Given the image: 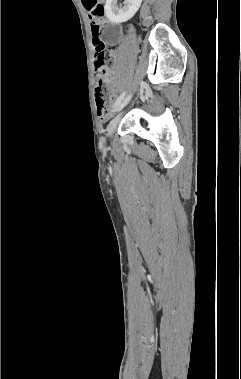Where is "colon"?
Here are the masks:
<instances>
[{
    "label": "colon",
    "mask_w": 241,
    "mask_h": 379,
    "mask_svg": "<svg viewBox=\"0 0 241 379\" xmlns=\"http://www.w3.org/2000/svg\"><path fill=\"white\" fill-rule=\"evenodd\" d=\"M82 2L91 20L93 45L95 48L94 63L96 70L95 94L97 112L101 120L107 122L113 115L112 105L114 96L106 84L108 75L107 62L110 58V53L106 50L104 43L99 38L104 7L98 0H83Z\"/></svg>",
    "instance_id": "1"
}]
</instances>
